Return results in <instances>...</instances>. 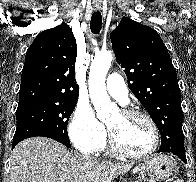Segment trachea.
<instances>
[{
	"mask_svg": "<svg viewBox=\"0 0 196 182\" xmlns=\"http://www.w3.org/2000/svg\"><path fill=\"white\" fill-rule=\"evenodd\" d=\"M102 27V16L99 11L92 14L90 21V29L93 34H99Z\"/></svg>",
	"mask_w": 196,
	"mask_h": 182,
	"instance_id": "trachea-1",
	"label": "trachea"
}]
</instances>
